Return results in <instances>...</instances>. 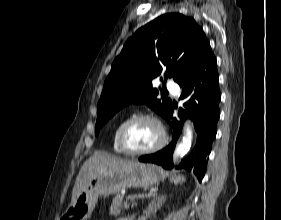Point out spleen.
<instances>
[{"instance_id": "spleen-1", "label": "spleen", "mask_w": 281, "mask_h": 220, "mask_svg": "<svg viewBox=\"0 0 281 220\" xmlns=\"http://www.w3.org/2000/svg\"><path fill=\"white\" fill-rule=\"evenodd\" d=\"M170 181L171 182H174L175 184H178V183H181V182H184L185 181V177L184 176H181V175H173L171 178H170Z\"/></svg>"}]
</instances>
